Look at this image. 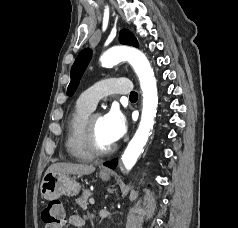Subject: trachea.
<instances>
[{
  "mask_svg": "<svg viewBox=\"0 0 238 228\" xmlns=\"http://www.w3.org/2000/svg\"><path fill=\"white\" fill-rule=\"evenodd\" d=\"M129 98H130L131 100L137 99V98H138V94L133 91V92H131Z\"/></svg>",
  "mask_w": 238,
  "mask_h": 228,
  "instance_id": "trachea-1",
  "label": "trachea"
}]
</instances>
